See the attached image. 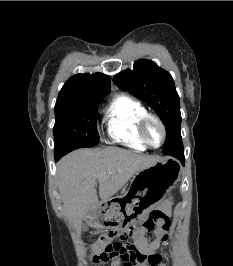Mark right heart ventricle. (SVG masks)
Returning a JSON list of instances; mask_svg holds the SVG:
<instances>
[{
	"label": "right heart ventricle",
	"instance_id": "e07e8e85",
	"mask_svg": "<svg viewBox=\"0 0 233 266\" xmlns=\"http://www.w3.org/2000/svg\"><path fill=\"white\" fill-rule=\"evenodd\" d=\"M147 113L144 105L127 94H118L106 110L109 137L116 143L144 151L146 145L138 134V124Z\"/></svg>",
	"mask_w": 233,
	"mask_h": 266
}]
</instances>
